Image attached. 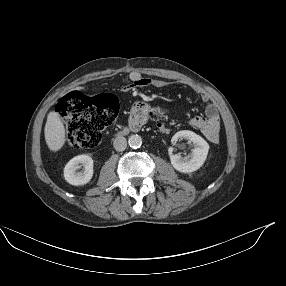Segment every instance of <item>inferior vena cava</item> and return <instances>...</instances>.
Segmentation results:
<instances>
[{
	"label": "inferior vena cava",
	"mask_w": 286,
	"mask_h": 286,
	"mask_svg": "<svg viewBox=\"0 0 286 286\" xmlns=\"http://www.w3.org/2000/svg\"><path fill=\"white\" fill-rule=\"evenodd\" d=\"M113 146L117 151H124L127 147V140L123 136H118L114 139Z\"/></svg>",
	"instance_id": "1"
}]
</instances>
